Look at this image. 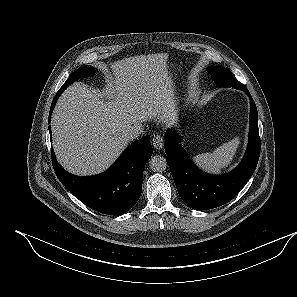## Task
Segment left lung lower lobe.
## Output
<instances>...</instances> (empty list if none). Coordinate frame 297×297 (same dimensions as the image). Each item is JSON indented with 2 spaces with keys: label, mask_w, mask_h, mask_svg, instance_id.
I'll use <instances>...</instances> for the list:
<instances>
[{
  "label": "left lung lower lobe",
  "mask_w": 297,
  "mask_h": 297,
  "mask_svg": "<svg viewBox=\"0 0 297 297\" xmlns=\"http://www.w3.org/2000/svg\"><path fill=\"white\" fill-rule=\"evenodd\" d=\"M250 99L249 140L241 163L230 173L214 176L199 170L178 144L173 131L167 130L165 140L166 161L171 170L178 193L193 209L207 210L232 200L248 182L255 171L260 156L258 112L247 88L242 89Z\"/></svg>",
  "instance_id": "left-lung-lower-lobe-1"
}]
</instances>
